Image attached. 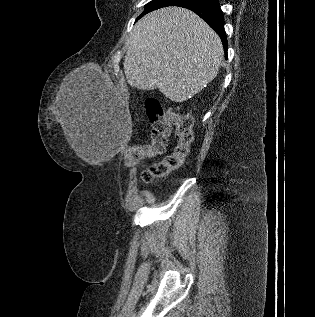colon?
Segmentation results:
<instances>
[{
	"label": "colon",
	"mask_w": 315,
	"mask_h": 317,
	"mask_svg": "<svg viewBox=\"0 0 315 317\" xmlns=\"http://www.w3.org/2000/svg\"><path fill=\"white\" fill-rule=\"evenodd\" d=\"M145 107L151 125L150 142L129 145L125 153V162L135 165L145 158L163 154L172 127L176 138V145L170 154L160 161L149 164L143 170L141 179L151 183L167 177L183 165L190 153L194 133L192 118L188 113L165 110L155 98L147 99Z\"/></svg>",
	"instance_id": "obj_1"
}]
</instances>
